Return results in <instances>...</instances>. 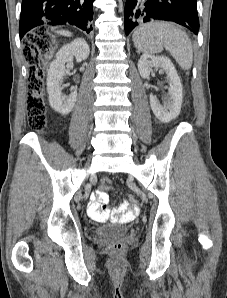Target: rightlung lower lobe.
Wrapping results in <instances>:
<instances>
[{
	"instance_id": "1",
	"label": "right lung lower lobe",
	"mask_w": 227,
	"mask_h": 298,
	"mask_svg": "<svg viewBox=\"0 0 227 298\" xmlns=\"http://www.w3.org/2000/svg\"><path fill=\"white\" fill-rule=\"evenodd\" d=\"M94 0H23L19 23L20 39L31 29L44 25H75L92 30Z\"/></svg>"
}]
</instances>
